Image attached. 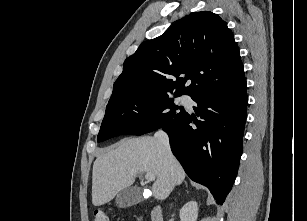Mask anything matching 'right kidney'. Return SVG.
Listing matches in <instances>:
<instances>
[{
    "instance_id": "ca27d5eb",
    "label": "right kidney",
    "mask_w": 307,
    "mask_h": 221,
    "mask_svg": "<svg viewBox=\"0 0 307 221\" xmlns=\"http://www.w3.org/2000/svg\"><path fill=\"white\" fill-rule=\"evenodd\" d=\"M181 221H196L198 217V204L196 201H189L183 205L179 213Z\"/></svg>"
}]
</instances>
